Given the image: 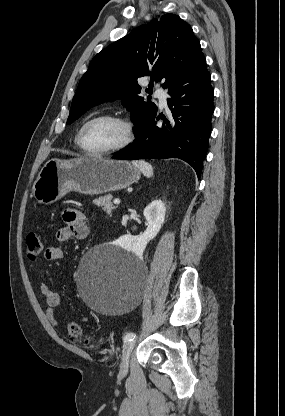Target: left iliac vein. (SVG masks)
<instances>
[{
	"label": "left iliac vein",
	"mask_w": 285,
	"mask_h": 416,
	"mask_svg": "<svg viewBox=\"0 0 285 416\" xmlns=\"http://www.w3.org/2000/svg\"><path fill=\"white\" fill-rule=\"evenodd\" d=\"M134 345H135L134 341H129L124 346V349L122 351L121 363H120V372L122 374L126 373L128 370L129 358L133 351Z\"/></svg>",
	"instance_id": "1"
}]
</instances>
